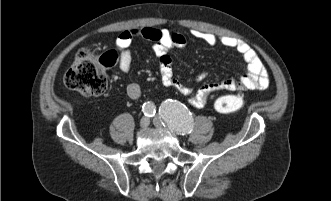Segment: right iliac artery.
I'll list each match as a JSON object with an SVG mask.
<instances>
[{"label": "right iliac artery", "instance_id": "1", "mask_svg": "<svg viewBox=\"0 0 331 201\" xmlns=\"http://www.w3.org/2000/svg\"><path fill=\"white\" fill-rule=\"evenodd\" d=\"M142 111L144 114L148 117H152L155 115L156 112V107L153 103L151 102H146L143 104Z\"/></svg>", "mask_w": 331, "mask_h": 201}]
</instances>
